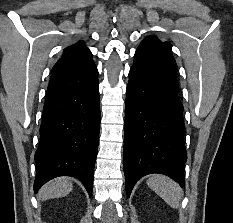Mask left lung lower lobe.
<instances>
[{
	"instance_id": "0a47b994",
	"label": "left lung lower lobe",
	"mask_w": 233,
	"mask_h": 223,
	"mask_svg": "<svg viewBox=\"0 0 233 223\" xmlns=\"http://www.w3.org/2000/svg\"><path fill=\"white\" fill-rule=\"evenodd\" d=\"M177 70L171 50L153 39L145 38L135 52L125 108L123 165L128 197L135 183L151 173L185 186L187 153Z\"/></svg>"
}]
</instances>
